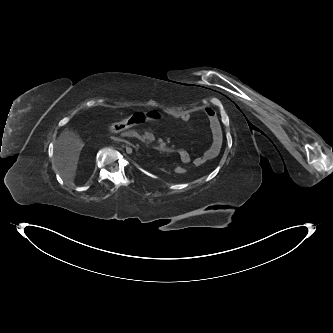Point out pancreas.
<instances>
[{"label": "pancreas", "instance_id": "cf45deb5", "mask_svg": "<svg viewBox=\"0 0 333 333\" xmlns=\"http://www.w3.org/2000/svg\"><path fill=\"white\" fill-rule=\"evenodd\" d=\"M125 135L128 136H135L137 137L139 140L146 142V136L145 135H139L136 131H128L125 133Z\"/></svg>", "mask_w": 333, "mask_h": 333}]
</instances>
